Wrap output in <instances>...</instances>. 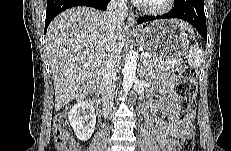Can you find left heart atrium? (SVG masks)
Wrapping results in <instances>:
<instances>
[{
	"mask_svg": "<svg viewBox=\"0 0 231 151\" xmlns=\"http://www.w3.org/2000/svg\"><path fill=\"white\" fill-rule=\"evenodd\" d=\"M134 2L135 3H146L148 2V0H135Z\"/></svg>",
	"mask_w": 231,
	"mask_h": 151,
	"instance_id": "1",
	"label": "left heart atrium"
}]
</instances>
